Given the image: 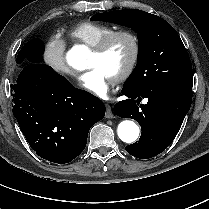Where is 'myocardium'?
<instances>
[{"mask_svg":"<svg viewBox=\"0 0 209 209\" xmlns=\"http://www.w3.org/2000/svg\"><path fill=\"white\" fill-rule=\"evenodd\" d=\"M120 37L127 38L131 42L132 53L126 66L115 78L117 82L125 81L131 75L139 60L141 53V42L138 35L131 30H116L107 35L97 45L92 47V53L97 56H103L107 53L113 42Z\"/></svg>","mask_w":209,"mask_h":209,"instance_id":"f54148a6","label":"myocardium"}]
</instances>
